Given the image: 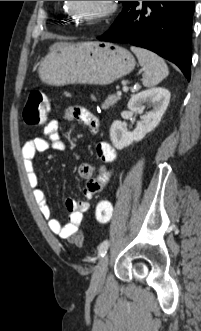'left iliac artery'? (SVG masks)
Here are the masks:
<instances>
[{"instance_id":"1","label":"left iliac artery","mask_w":201,"mask_h":331,"mask_svg":"<svg viewBox=\"0 0 201 331\" xmlns=\"http://www.w3.org/2000/svg\"><path fill=\"white\" fill-rule=\"evenodd\" d=\"M108 246H109V241L108 240H104L98 247V255L100 257H103L106 252H107V249H108Z\"/></svg>"}]
</instances>
